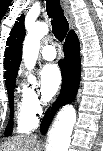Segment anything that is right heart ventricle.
<instances>
[{"mask_svg": "<svg viewBox=\"0 0 103 151\" xmlns=\"http://www.w3.org/2000/svg\"><path fill=\"white\" fill-rule=\"evenodd\" d=\"M36 118L31 117L22 103L17 104V130L19 133L32 131L36 126Z\"/></svg>", "mask_w": 103, "mask_h": 151, "instance_id": "right-heart-ventricle-1", "label": "right heart ventricle"}]
</instances>
